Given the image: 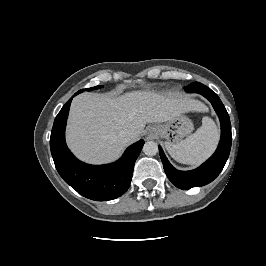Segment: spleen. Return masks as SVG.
I'll use <instances>...</instances> for the list:
<instances>
[{"mask_svg":"<svg viewBox=\"0 0 266 266\" xmlns=\"http://www.w3.org/2000/svg\"><path fill=\"white\" fill-rule=\"evenodd\" d=\"M219 138V131L214 121L204 117L202 126L194 134L181 142H165L170 156L179 163L198 165L214 151Z\"/></svg>","mask_w":266,"mask_h":266,"instance_id":"spleen-1","label":"spleen"}]
</instances>
